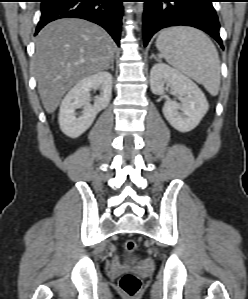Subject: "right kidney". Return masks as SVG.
<instances>
[{
    "mask_svg": "<svg viewBox=\"0 0 248 299\" xmlns=\"http://www.w3.org/2000/svg\"><path fill=\"white\" fill-rule=\"evenodd\" d=\"M112 79L109 72L100 71L77 82L66 94L59 112L60 128L65 135L71 138L79 137L92 125L96 115L109 105ZM92 89H99L101 93L94 104L90 105L88 101ZM80 107H83V112L77 117L76 110Z\"/></svg>",
    "mask_w": 248,
    "mask_h": 299,
    "instance_id": "obj_1",
    "label": "right kidney"
}]
</instances>
